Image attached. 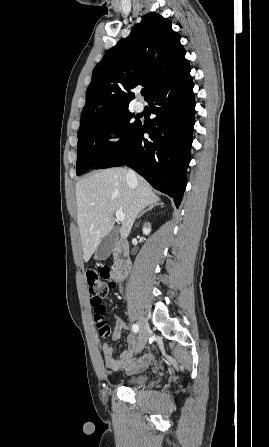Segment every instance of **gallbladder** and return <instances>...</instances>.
I'll use <instances>...</instances> for the list:
<instances>
[{
  "label": "gallbladder",
  "mask_w": 269,
  "mask_h": 447,
  "mask_svg": "<svg viewBox=\"0 0 269 447\" xmlns=\"http://www.w3.org/2000/svg\"><path fill=\"white\" fill-rule=\"evenodd\" d=\"M118 231L119 227H114V229H111L110 233L102 239L95 251V259H106V257L112 253L118 239Z\"/></svg>",
  "instance_id": "obj_1"
}]
</instances>
